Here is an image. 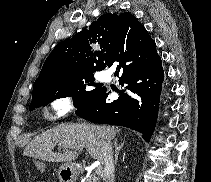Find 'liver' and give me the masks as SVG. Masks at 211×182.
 Listing matches in <instances>:
<instances>
[{
  "mask_svg": "<svg viewBox=\"0 0 211 182\" xmlns=\"http://www.w3.org/2000/svg\"><path fill=\"white\" fill-rule=\"evenodd\" d=\"M116 136L113 127L92 124H61L36 136L24 149V155L48 162L70 163L76 151L54 153L53 148L85 147L90 156L103 162V143Z\"/></svg>",
  "mask_w": 211,
  "mask_h": 182,
  "instance_id": "1",
  "label": "liver"
}]
</instances>
